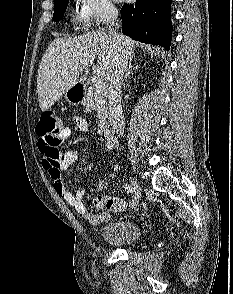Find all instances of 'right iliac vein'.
Segmentation results:
<instances>
[{
	"label": "right iliac vein",
	"instance_id": "1",
	"mask_svg": "<svg viewBox=\"0 0 233 294\" xmlns=\"http://www.w3.org/2000/svg\"><path fill=\"white\" fill-rule=\"evenodd\" d=\"M130 182L131 186L134 188V206H137L141 198V187L132 177H130Z\"/></svg>",
	"mask_w": 233,
	"mask_h": 294
}]
</instances>
